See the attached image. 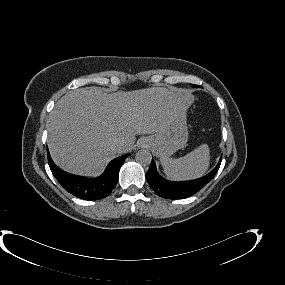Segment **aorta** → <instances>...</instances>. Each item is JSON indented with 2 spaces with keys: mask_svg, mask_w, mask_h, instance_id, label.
I'll list each match as a JSON object with an SVG mask.
<instances>
[{
  "mask_svg": "<svg viewBox=\"0 0 285 285\" xmlns=\"http://www.w3.org/2000/svg\"><path fill=\"white\" fill-rule=\"evenodd\" d=\"M136 161L141 165H149L152 161V155L148 150H139L135 155Z\"/></svg>",
  "mask_w": 285,
  "mask_h": 285,
  "instance_id": "1",
  "label": "aorta"
}]
</instances>
